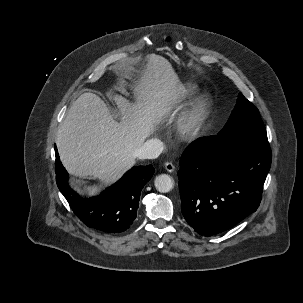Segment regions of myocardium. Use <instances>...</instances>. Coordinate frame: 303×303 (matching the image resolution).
Masks as SVG:
<instances>
[{
  "instance_id": "myocardium-1",
  "label": "myocardium",
  "mask_w": 303,
  "mask_h": 303,
  "mask_svg": "<svg viewBox=\"0 0 303 303\" xmlns=\"http://www.w3.org/2000/svg\"><path fill=\"white\" fill-rule=\"evenodd\" d=\"M210 108V97L202 95L180 116L177 130L183 139L192 140L199 135L208 118Z\"/></svg>"
}]
</instances>
